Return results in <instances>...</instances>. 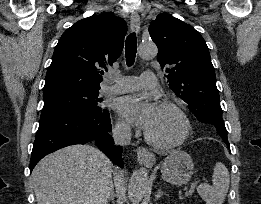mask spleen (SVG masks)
<instances>
[{"mask_svg":"<svg viewBox=\"0 0 261 204\" xmlns=\"http://www.w3.org/2000/svg\"><path fill=\"white\" fill-rule=\"evenodd\" d=\"M212 183V186L207 183L199 185L197 192L206 204H222L229 189L230 175L221 162L215 164Z\"/></svg>","mask_w":261,"mask_h":204,"instance_id":"obj_1","label":"spleen"}]
</instances>
